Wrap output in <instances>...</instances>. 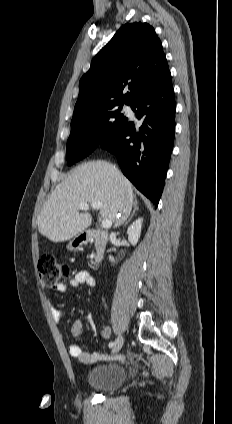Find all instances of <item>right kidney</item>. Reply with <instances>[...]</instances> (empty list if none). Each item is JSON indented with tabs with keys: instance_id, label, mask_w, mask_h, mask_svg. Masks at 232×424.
I'll return each mask as SVG.
<instances>
[{
	"instance_id": "obj_1",
	"label": "right kidney",
	"mask_w": 232,
	"mask_h": 424,
	"mask_svg": "<svg viewBox=\"0 0 232 424\" xmlns=\"http://www.w3.org/2000/svg\"><path fill=\"white\" fill-rule=\"evenodd\" d=\"M142 222H143V219L138 218L128 227V230H127L128 240L133 246H135L139 241L141 228H142Z\"/></svg>"
}]
</instances>
